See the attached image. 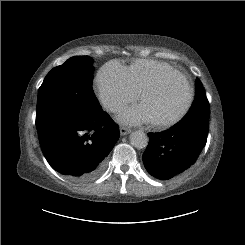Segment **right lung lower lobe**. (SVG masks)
<instances>
[{
  "mask_svg": "<svg viewBox=\"0 0 245 245\" xmlns=\"http://www.w3.org/2000/svg\"><path fill=\"white\" fill-rule=\"evenodd\" d=\"M49 164L76 181H89L105 167L119 139L118 125L102 110L56 119L37 130Z\"/></svg>",
  "mask_w": 245,
  "mask_h": 245,
  "instance_id": "98d812e1",
  "label": "right lung lower lobe"
}]
</instances>
